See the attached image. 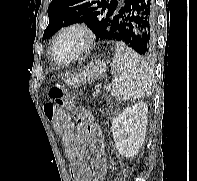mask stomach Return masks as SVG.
<instances>
[{"label": "stomach", "mask_w": 197, "mask_h": 181, "mask_svg": "<svg viewBox=\"0 0 197 181\" xmlns=\"http://www.w3.org/2000/svg\"><path fill=\"white\" fill-rule=\"evenodd\" d=\"M107 71V62L96 60L89 63L86 67L78 72L67 75L65 83L68 86L78 87L80 85L99 80L104 77Z\"/></svg>", "instance_id": "0dacf381"}]
</instances>
